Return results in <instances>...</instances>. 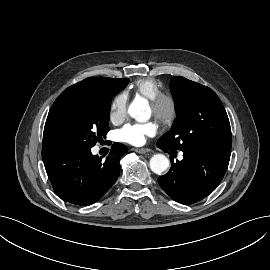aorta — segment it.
Instances as JSON below:
<instances>
[{
  "instance_id": "762f6f07",
  "label": "aorta",
  "mask_w": 270,
  "mask_h": 270,
  "mask_svg": "<svg viewBox=\"0 0 270 270\" xmlns=\"http://www.w3.org/2000/svg\"><path fill=\"white\" fill-rule=\"evenodd\" d=\"M129 115L139 122L150 118L148 102L144 98H135L128 108ZM169 167V160L163 154H155L150 159V168L155 174H162Z\"/></svg>"
}]
</instances>
